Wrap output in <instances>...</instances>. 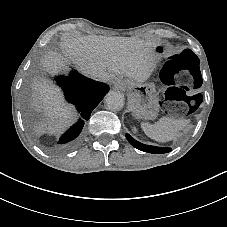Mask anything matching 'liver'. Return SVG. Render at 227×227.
<instances>
[{"mask_svg":"<svg viewBox=\"0 0 227 227\" xmlns=\"http://www.w3.org/2000/svg\"><path fill=\"white\" fill-rule=\"evenodd\" d=\"M63 50L76 66L87 76L98 79L113 73L125 74L138 83H145L157 68L161 57L155 50L154 43L129 37L80 36L68 38L63 43ZM61 55L52 54L45 60V67L57 72L64 66ZM36 91L44 95L47 110L56 117H70L68 108L60 107V100L50 84L36 82ZM58 121L49 127L55 130L62 125Z\"/></svg>","mask_w":227,"mask_h":227,"instance_id":"1","label":"liver"}]
</instances>
